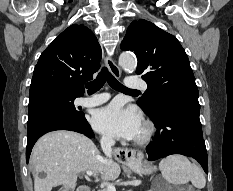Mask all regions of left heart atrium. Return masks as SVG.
Returning a JSON list of instances; mask_svg holds the SVG:
<instances>
[{
    "label": "left heart atrium",
    "mask_w": 233,
    "mask_h": 191,
    "mask_svg": "<svg viewBox=\"0 0 233 191\" xmlns=\"http://www.w3.org/2000/svg\"><path fill=\"white\" fill-rule=\"evenodd\" d=\"M92 125L95 130L109 137L131 140L139 135L142 118L136 109L113 102L94 112Z\"/></svg>",
    "instance_id": "obj_1"
}]
</instances>
